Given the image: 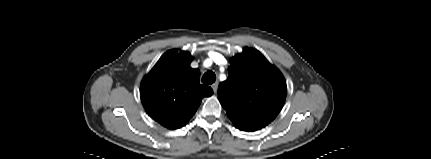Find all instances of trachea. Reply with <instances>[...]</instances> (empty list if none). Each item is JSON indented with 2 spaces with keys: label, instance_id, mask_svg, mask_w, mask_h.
Here are the masks:
<instances>
[{
  "label": "trachea",
  "instance_id": "3493384b",
  "mask_svg": "<svg viewBox=\"0 0 431 159\" xmlns=\"http://www.w3.org/2000/svg\"><path fill=\"white\" fill-rule=\"evenodd\" d=\"M215 80H216V75H215L214 72H212L210 70L207 71V72H205V74L202 77V82L204 84H207V85H210V84L214 83Z\"/></svg>",
  "mask_w": 431,
  "mask_h": 159
}]
</instances>
